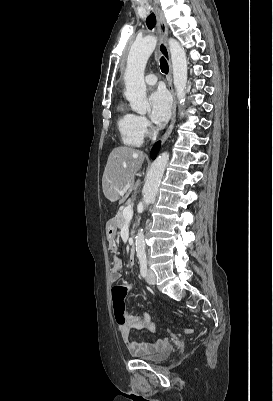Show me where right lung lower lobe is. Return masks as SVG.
<instances>
[{
	"instance_id": "1",
	"label": "right lung lower lobe",
	"mask_w": 273,
	"mask_h": 401,
	"mask_svg": "<svg viewBox=\"0 0 273 401\" xmlns=\"http://www.w3.org/2000/svg\"><path fill=\"white\" fill-rule=\"evenodd\" d=\"M160 148V142L155 143V145L153 146L152 150H151V158L155 159L158 151Z\"/></svg>"
}]
</instances>
